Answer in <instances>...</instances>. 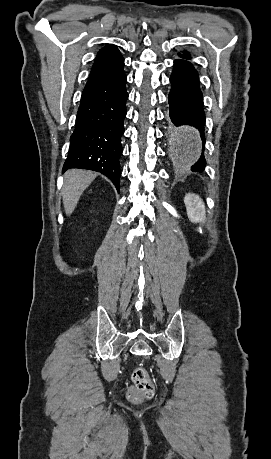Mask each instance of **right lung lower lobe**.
<instances>
[{
  "mask_svg": "<svg viewBox=\"0 0 271 459\" xmlns=\"http://www.w3.org/2000/svg\"><path fill=\"white\" fill-rule=\"evenodd\" d=\"M127 77L118 72L86 84L63 171L88 169L107 176L119 191L121 136L126 116Z\"/></svg>",
  "mask_w": 271,
  "mask_h": 459,
  "instance_id": "1",
  "label": "right lung lower lobe"
}]
</instances>
